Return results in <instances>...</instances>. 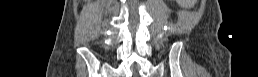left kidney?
I'll use <instances>...</instances> for the list:
<instances>
[{
    "instance_id": "1",
    "label": "left kidney",
    "mask_w": 258,
    "mask_h": 77,
    "mask_svg": "<svg viewBox=\"0 0 258 77\" xmlns=\"http://www.w3.org/2000/svg\"><path fill=\"white\" fill-rule=\"evenodd\" d=\"M177 2L183 7H187L188 5L192 4L193 0H177Z\"/></svg>"
}]
</instances>
